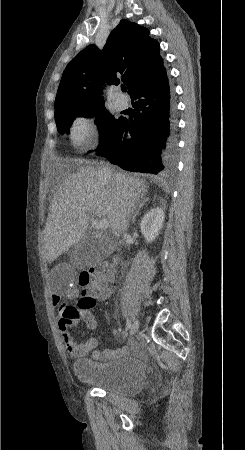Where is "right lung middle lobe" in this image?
Masks as SVG:
<instances>
[{"label": "right lung middle lobe", "instance_id": "dd1d6c3e", "mask_svg": "<svg viewBox=\"0 0 245 450\" xmlns=\"http://www.w3.org/2000/svg\"><path fill=\"white\" fill-rule=\"evenodd\" d=\"M98 124L102 127L104 139L103 149L112 142V137L118 127V122L121 118L115 119L104 107V105L83 106L79 104H62L55 106V118L57 129L60 133H68L71 122L77 117H93L96 116Z\"/></svg>", "mask_w": 245, "mask_h": 450}]
</instances>
